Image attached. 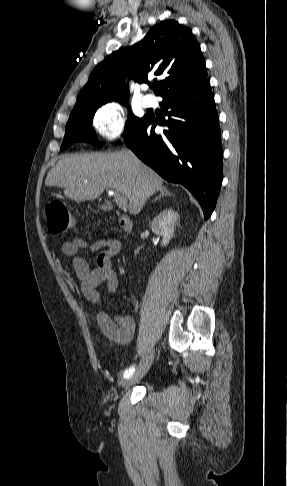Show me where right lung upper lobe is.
<instances>
[{
	"label": "right lung upper lobe",
	"instance_id": "1",
	"mask_svg": "<svg viewBox=\"0 0 287 486\" xmlns=\"http://www.w3.org/2000/svg\"><path fill=\"white\" fill-rule=\"evenodd\" d=\"M149 83L150 72L165 75L155 94L201 83L207 78L205 60L191 30L175 20H165L150 29L139 43L113 52L91 73L72 113L112 100L128 99L124 76Z\"/></svg>",
	"mask_w": 287,
	"mask_h": 486
}]
</instances>
